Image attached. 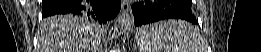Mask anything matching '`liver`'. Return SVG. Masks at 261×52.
Here are the masks:
<instances>
[{
  "mask_svg": "<svg viewBox=\"0 0 261 52\" xmlns=\"http://www.w3.org/2000/svg\"><path fill=\"white\" fill-rule=\"evenodd\" d=\"M99 46L98 29L89 21L57 15L40 24L37 52H98Z\"/></svg>",
  "mask_w": 261,
  "mask_h": 52,
  "instance_id": "liver-1",
  "label": "liver"
}]
</instances>
